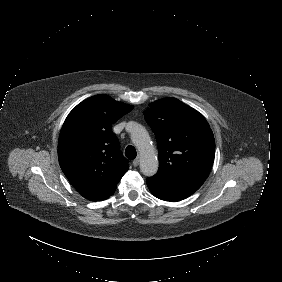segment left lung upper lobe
<instances>
[{
  "mask_svg": "<svg viewBox=\"0 0 282 282\" xmlns=\"http://www.w3.org/2000/svg\"><path fill=\"white\" fill-rule=\"evenodd\" d=\"M144 115L156 135L157 174L205 181L215 157V140L206 119L176 98L152 102Z\"/></svg>",
  "mask_w": 282,
  "mask_h": 282,
  "instance_id": "1",
  "label": "left lung upper lobe"
}]
</instances>
